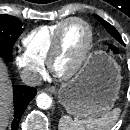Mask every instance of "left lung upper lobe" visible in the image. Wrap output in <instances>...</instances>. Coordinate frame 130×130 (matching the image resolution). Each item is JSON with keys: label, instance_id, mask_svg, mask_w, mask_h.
<instances>
[{"label": "left lung upper lobe", "instance_id": "5c2ea615", "mask_svg": "<svg viewBox=\"0 0 130 130\" xmlns=\"http://www.w3.org/2000/svg\"><path fill=\"white\" fill-rule=\"evenodd\" d=\"M94 17L101 22V24L107 29V31L109 32L111 36H113L121 44H124L121 36L111 24H109L108 22H106L101 17L97 16L96 14H94Z\"/></svg>", "mask_w": 130, "mask_h": 130}]
</instances>
